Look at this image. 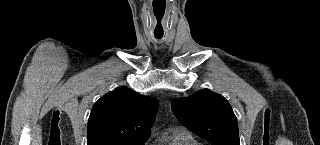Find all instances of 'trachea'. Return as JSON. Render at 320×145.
Segmentation results:
<instances>
[{"label":"trachea","instance_id":"3493384b","mask_svg":"<svg viewBox=\"0 0 320 145\" xmlns=\"http://www.w3.org/2000/svg\"><path fill=\"white\" fill-rule=\"evenodd\" d=\"M156 38H157V39H161L162 37H157V36H156Z\"/></svg>","mask_w":320,"mask_h":145}]
</instances>
